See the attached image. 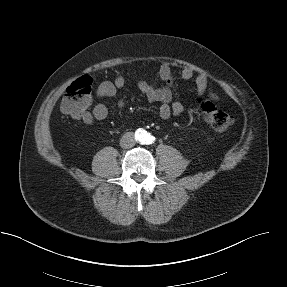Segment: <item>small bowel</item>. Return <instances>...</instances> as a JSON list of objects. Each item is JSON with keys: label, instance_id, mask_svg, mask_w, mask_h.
Instances as JSON below:
<instances>
[{"label": "small bowel", "instance_id": "obj_1", "mask_svg": "<svg viewBox=\"0 0 287 287\" xmlns=\"http://www.w3.org/2000/svg\"><path fill=\"white\" fill-rule=\"evenodd\" d=\"M181 80L187 81L195 79L197 95L201 96L208 93L209 97L217 100L216 93L208 89V78L205 74L195 72L191 68L178 69L168 63H163L157 74L156 82L149 83L145 80H138L137 87L140 92L151 102L159 104V115L162 119H168L172 115H179L184 111V105L173 99V84L176 75ZM125 86V78L118 75L114 81L102 82L96 90V97L100 100L116 96L119 90ZM124 102L119 101V106H123ZM108 116V109L103 103H97L92 110H88L81 118L87 124L92 125L95 121L104 120Z\"/></svg>", "mask_w": 287, "mask_h": 287}]
</instances>
